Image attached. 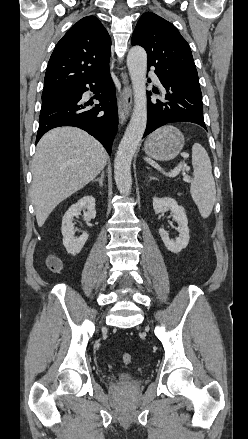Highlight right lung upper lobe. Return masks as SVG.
<instances>
[{"mask_svg":"<svg viewBox=\"0 0 248 439\" xmlns=\"http://www.w3.org/2000/svg\"><path fill=\"white\" fill-rule=\"evenodd\" d=\"M111 40L95 16L74 24L50 57L42 98L63 93L109 68Z\"/></svg>","mask_w":248,"mask_h":439,"instance_id":"obj_1","label":"right lung upper lobe"}]
</instances>
